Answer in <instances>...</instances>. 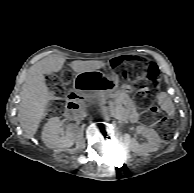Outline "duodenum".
I'll return each instance as SVG.
<instances>
[{
	"label": "duodenum",
	"mask_w": 194,
	"mask_h": 193,
	"mask_svg": "<svg viewBox=\"0 0 194 193\" xmlns=\"http://www.w3.org/2000/svg\"><path fill=\"white\" fill-rule=\"evenodd\" d=\"M84 106V98L81 95L72 93L69 95L65 115L68 118L78 116L82 112Z\"/></svg>",
	"instance_id": "duodenum-1"
}]
</instances>
